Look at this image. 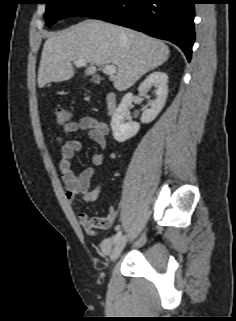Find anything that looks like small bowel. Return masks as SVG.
<instances>
[{
	"mask_svg": "<svg viewBox=\"0 0 236 321\" xmlns=\"http://www.w3.org/2000/svg\"><path fill=\"white\" fill-rule=\"evenodd\" d=\"M80 131H87L90 139L100 147V150L92 157V164L94 166L102 165L106 159L104 151L107 144L106 136L110 132L108 124L95 117L85 116L78 121H69L66 125L62 126V132L66 135ZM56 143L59 146V169L64 182L67 200L75 209H77L78 199H81L85 203L98 200L104 192L103 183L98 181L94 188L90 189L91 179L98 177L96 170L93 167H87L77 173L71 164V159L81 149V142L76 139L64 141L62 136H57ZM117 215V210L114 207H110L108 216L104 218H90L83 211H79L77 217L83 230L88 235L94 236L96 235L97 228L110 227ZM111 244L112 240H106L102 243L101 247L104 253L110 251Z\"/></svg>",
	"mask_w": 236,
	"mask_h": 321,
	"instance_id": "obj_1",
	"label": "small bowel"
}]
</instances>
